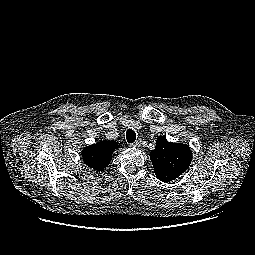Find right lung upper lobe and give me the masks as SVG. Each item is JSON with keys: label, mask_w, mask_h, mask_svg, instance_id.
Listing matches in <instances>:
<instances>
[{"label": "right lung upper lobe", "mask_w": 255, "mask_h": 255, "mask_svg": "<svg viewBox=\"0 0 255 255\" xmlns=\"http://www.w3.org/2000/svg\"><path fill=\"white\" fill-rule=\"evenodd\" d=\"M118 148L115 141L104 140L84 147L82 158L86 165L95 171H103L112 159L113 152Z\"/></svg>", "instance_id": "1"}]
</instances>
